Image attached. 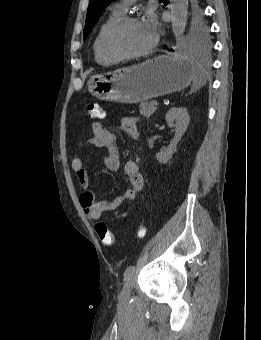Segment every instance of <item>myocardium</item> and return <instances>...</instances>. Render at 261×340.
<instances>
[{"label":"myocardium","instance_id":"1","mask_svg":"<svg viewBox=\"0 0 261 340\" xmlns=\"http://www.w3.org/2000/svg\"><path fill=\"white\" fill-rule=\"evenodd\" d=\"M140 22L133 16H125L118 20L106 33L103 41V46L106 53L116 60H128L144 56L150 53L158 43V36L154 34L153 40L148 47L135 53H124L115 47V39L117 35L128 25Z\"/></svg>","mask_w":261,"mask_h":340}]
</instances>
